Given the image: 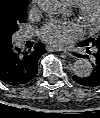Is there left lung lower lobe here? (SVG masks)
<instances>
[{
	"label": "left lung lower lobe",
	"instance_id": "left-lung-lower-lobe-1",
	"mask_svg": "<svg viewBox=\"0 0 100 118\" xmlns=\"http://www.w3.org/2000/svg\"><path fill=\"white\" fill-rule=\"evenodd\" d=\"M79 47H86L87 53L90 54V48H93L94 53H93V63L92 66L93 72L91 73L90 76L88 77H78V76H73V80L77 82L80 85L87 86V87H96L100 86V40L94 41V42H82L78 44ZM77 57H87L89 58L88 55H80L76 54Z\"/></svg>",
	"mask_w": 100,
	"mask_h": 118
}]
</instances>
